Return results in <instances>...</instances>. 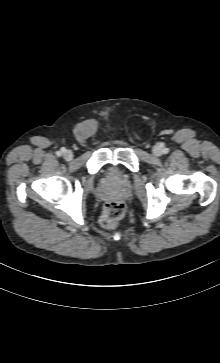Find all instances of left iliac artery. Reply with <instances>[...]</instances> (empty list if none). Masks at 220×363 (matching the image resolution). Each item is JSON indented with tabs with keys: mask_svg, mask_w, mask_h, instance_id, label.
<instances>
[{
	"mask_svg": "<svg viewBox=\"0 0 220 363\" xmlns=\"http://www.w3.org/2000/svg\"><path fill=\"white\" fill-rule=\"evenodd\" d=\"M164 153H167V149L164 150Z\"/></svg>",
	"mask_w": 220,
	"mask_h": 363,
	"instance_id": "obj_1",
	"label": "left iliac artery"
}]
</instances>
